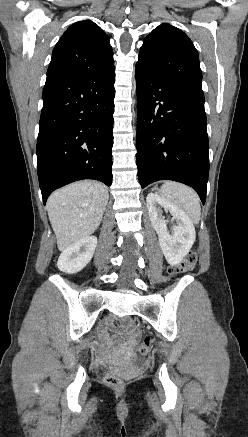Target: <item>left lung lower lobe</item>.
Returning a JSON list of instances; mask_svg holds the SVG:
<instances>
[{
	"label": "left lung lower lobe",
	"mask_w": 248,
	"mask_h": 437,
	"mask_svg": "<svg viewBox=\"0 0 248 437\" xmlns=\"http://www.w3.org/2000/svg\"><path fill=\"white\" fill-rule=\"evenodd\" d=\"M137 167L142 188L158 180L191 186L202 203L209 174L207 120L202 90L136 69Z\"/></svg>",
	"instance_id": "left-lung-lower-lobe-1"
}]
</instances>
